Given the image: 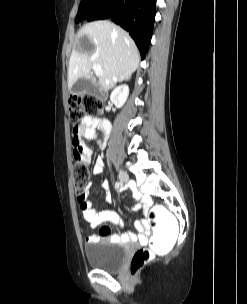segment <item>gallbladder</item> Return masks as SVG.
<instances>
[{
  "label": "gallbladder",
  "mask_w": 247,
  "mask_h": 304,
  "mask_svg": "<svg viewBox=\"0 0 247 304\" xmlns=\"http://www.w3.org/2000/svg\"><path fill=\"white\" fill-rule=\"evenodd\" d=\"M93 90V87L89 84V81L85 77L79 78L70 89L73 95L86 93Z\"/></svg>",
  "instance_id": "1"
}]
</instances>
